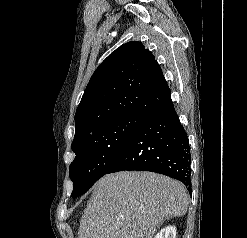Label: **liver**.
I'll return each instance as SVG.
<instances>
[{"label": "liver", "mask_w": 247, "mask_h": 238, "mask_svg": "<svg viewBox=\"0 0 247 238\" xmlns=\"http://www.w3.org/2000/svg\"><path fill=\"white\" fill-rule=\"evenodd\" d=\"M184 185L152 172L108 174L93 186L78 238H153L165 217L188 209Z\"/></svg>", "instance_id": "liver-1"}]
</instances>
